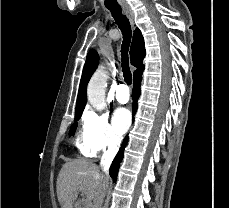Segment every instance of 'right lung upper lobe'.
I'll return each mask as SVG.
<instances>
[{"label":"right lung upper lobe","instance_id":"right-lung-upper-lobe-1","mask_svg":"<svg viewBox=\"0 0 229 208\" xmlns=\"http://www.w3.org/2000/svg\"><path fill=\"white\" fill-rule=\"evenodd\" d=\"M145 55L146 52L144 47V38L141 34V31L138 28H136L133 34V40L130 49L131 64L137 67V69L133 73L134 77L143 72L144 65L142 64V61ZM98 63H99V55L96 52V50L91 49L87 54L86 62L83 68V73H82L80 86H79V92L77 96L74 120L77 119L79 120L82 115L83 109L87 102V94H86L87 84L92 74L96 70Z\"/></svg>","mask_w":229,"mask_h":208}]
</instances>
